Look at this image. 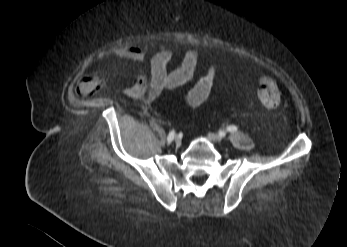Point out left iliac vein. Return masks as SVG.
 I'll return each instance as SVG.
<instances>
[{"label":"left iliac vein","mask_w":347,"mask_h":247,"mask_svg":"<svg viewBox=\"0 0 347 247\" xmlns=\"http://www.w3.org/2000/svg\"><path fill=\"white\" fill-rule=\"evenodd\" d=\"M208 137L210 139H212L213 141H216V142H221L222 141V136H220V135H218L216 133L210 132V133H208Z\"/></svg>","instance_id":"left-iliac-vein-1"}]
</instances>
